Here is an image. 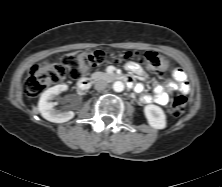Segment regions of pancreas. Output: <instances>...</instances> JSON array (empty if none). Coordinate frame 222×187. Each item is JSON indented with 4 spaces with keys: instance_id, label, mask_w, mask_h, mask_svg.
Here are the masks:
<instances>
[{
    "instance_id": "1",
    "label": "pancreas",
    "mask_w": 222,
    "mask_h": 187,
    "mask_svg": "<svg viewBox=\"0 0 222 187\" xmlns=\"http://www.w3.org/2000/svg\"><path fill=\"white\" fill-rule=\"evenodd\" d=\"M97 77H102V78H111V77H113V75H111V74H108V73H103V72H97V73H94L93 75H92V78H97Z\"/></svg>"
}]
</instances>
